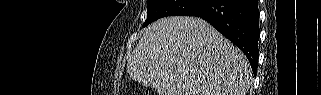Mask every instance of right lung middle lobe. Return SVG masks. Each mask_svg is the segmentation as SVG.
Wrapping results in <instances>:
<instances>
[{
    "label": "right lung middle lobe",
    "instance_id": "obj_1",
    "mask_svg": "<svg viewBox=\"0 0 321 95\" xmlns=\"http://www.w3.org/2000/svg\"><path fill=\"white\" fill-rule=\"evenodd\" d=\"M207 0H147V19L143 27L165 16H189Z\"/></svg>",
    "mask_w": 321,
    "mask_h": 95
}]
</instances>
